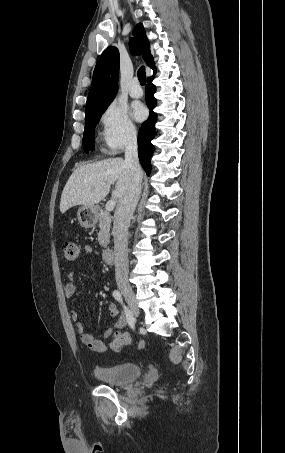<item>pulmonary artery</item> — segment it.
<instances>
[{"label": "pulmonary artery", "instance_id": "pulmonary-artery-1", "mask_svg": "<svg viewBox=\"0 0 285 453\" xmlns=\"http://www.w3.org/2000/svg\"><path fill=\"white\" fill-rule=\"evenodd\" d=\"M129 94L133 98H140L143 95V90L137 78H134L130 87Z\"/></svg>", "mask_w": 285, "mask_h": 453}]
</instances>
